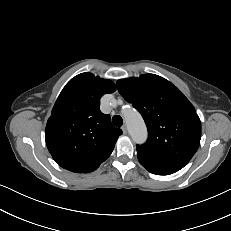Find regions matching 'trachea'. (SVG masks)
<instances>
[{
  "mask_svg": "<svg viewBox=\"0 0 231 231\" xmlns=\"http://www.w3.org/2000/svg\"><path fill=\"white\" fill-rule=\"evenodd\" d=\"M112 122H113V124H114L116 127H121L122 124H123L122 117L119 116V115H114V116L112 117Z\"/></svg>",
  "mask_w": 231,
  "mask_h": 231,
  "instance_id": "obj_1",
  "label": "trachea"
}]
</instances>
